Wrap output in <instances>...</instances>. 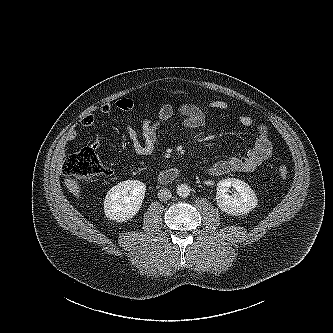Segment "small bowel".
I'll return each instance as SVG.
<instances>
[{
	"label": "small bowel",
	"instance_id": "small-bowel-1",
	"mask_svg": "<svg viewBox=\"0 0 333 333\" xmlns=\"http://www.w3.org/2000/svg\"><path fill=\"white\" fill-rule=\"evenodd\" d=\"M209 109L213 112H225L229 109L227 102L215 100L209 104ZM134 108L133 100L129 98L118 99L115 103H106L100 107V111L109 114L114 110L131 111ZM175 110L182 116L181 126L185 129H196L204 126L206 115L197 105L182 103L176 109L170 103L163 104L157 113L155 119L146 117L141 122L140 131L133 126L126 125L124 130L129 138L133 151L140 156L150 155L160 142V131L173 117ZM236 121L243 127H251L253 119L247 114L236 116ZM95 117L92 114L84 116L80 124L83 127H90L94 124ZM77 138V131L71 129L65 135V142H72ZM99 140L93 143L94 148H98ZM273 147L269 139L268 128L265 125L257 127V138L254 145L246 152L244 157L228 156L222 160L213 163L208 172L215 176L228 174L231 172H253L264 161L272 155Z\"/></svg>",
	"mask_w": 333,
	"mask_h": 333
}]
</instances>
